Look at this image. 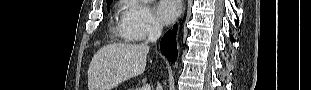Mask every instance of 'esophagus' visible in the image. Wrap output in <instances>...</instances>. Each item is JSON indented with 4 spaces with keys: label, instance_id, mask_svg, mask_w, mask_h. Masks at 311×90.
Masks as SVG:
<instances>
[{
    "label": "esophagus",
    "instance_id": "esophagus-1",
    "mask_svg": "<svg viewBox=\"0 0 311 90\" xmlns=\"http://www.w3.org/2000/svg\"><path fill=\"white\" fill-rule=\"evenodd\" d=\"M185 9H186V6H184V8H183V12H182L181 19L184 17V14H185Z\"/></svg>",
    "mask_w": 311,
    "mask_h": 90
}]
</instances>
